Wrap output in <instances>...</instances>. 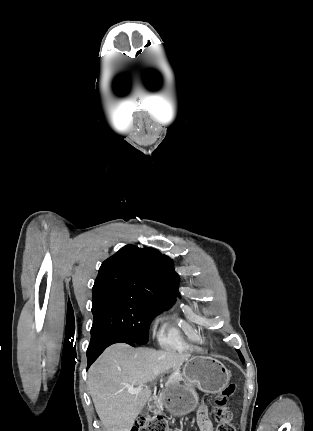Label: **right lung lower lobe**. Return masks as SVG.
Returning a JSON list of instances; mask_svg holds the SVG:
<instances>
[{
	"label": "right lung lower lobe",
	"mask_w": 313,
	"mask_h": 431,
	"mask_svg": "<svg viewBox=\"0 0 313 431\" xmlns=\"http://www.w3.org/2000/svg\"><path fill=\"white\" fill-rule=\"evenodd\" d=\"M127 343L131 346H135L136 343L121 337V336H114V335H103L95 340L90 341V345L87 349V359H88V366L90 365L99 357V355L110 345L114 343Z\"/></svg>",
	"instance_id": "1"
}]
</instances>
